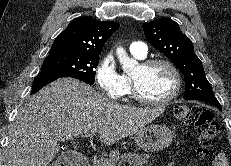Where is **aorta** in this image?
Instances as JSON below:
<instances>
[{"label":"aorta","mask_w":231,"mask_h":166,"mask_svg":"<svg viewBox=\"0 0 231 166\" xmlns=\"http://www.w3.org/2000/svg\"><path fill=\"white\" fill-rule=\"evenodd\" d=\"M116 55L126 74H130L138 68V62L135 59L130 58L123 47L117 48Z\"/></svg>","instance_id":"762f6f07"}]
</instances>
